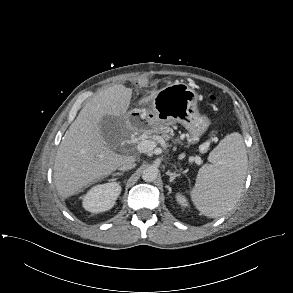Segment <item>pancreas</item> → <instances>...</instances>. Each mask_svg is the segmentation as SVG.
<instances>
[{
  "instance_id": "cf45deb5",
  "label": "pancreas",
  "mask_w": 293,
  "mask_h": 293,
  "mask_svg": "<svg viewBox=\"0 0 293 293\" xmlns=\"http://www.w3.org/2000/svg\"><path fill=\"white\" fill-rule=\"evenodd\" d=\"M162 137H163L165 140H167V139L169 138V135L166 134V133H163V134H162Z\"/></svg>"
}]
</instances>
